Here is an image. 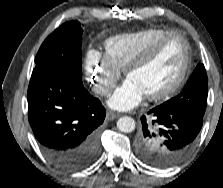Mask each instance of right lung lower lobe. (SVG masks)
<instances>
[{
    "mask_svg": "<svg viewBox=\"0 0 223 188\" xmlns=\"http://www.w3.org/2000/svg\"><path fill=\"white\" fill-rule=\"evenodd\" d=\"M27 98L33 133L52 164L73 172L96 160L106 115L99 99L84 86L47 73H32Z\"/></svg>",
    "mask_w": 223,
    "mask_h": 188,
    "instance_id": "right-lung-lower-lobe-1",
    "label": "right lung lower lobe"
}]
</instances>
